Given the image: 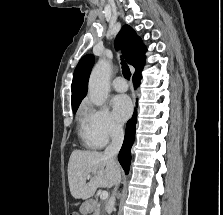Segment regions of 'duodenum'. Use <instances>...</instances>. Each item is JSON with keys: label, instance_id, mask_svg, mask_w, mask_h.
Segmentation results:
<instances>
[{"label": "duodenum", "instance_id": "1", "mask_svg": "<svg viewBox=\"0 0 223 215\" xmlns=\"http://www.w3.org/2000/svg\"><path fill=\"white\" fill-rule=\"evenodd\" d=\"M86 202H87V206H86V207H88V206H89V207H92V206H93L92 201L87 200Z\"/></svg>", "mask_w": 223, "mask_h": 215}]
</instances>
